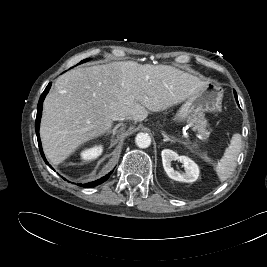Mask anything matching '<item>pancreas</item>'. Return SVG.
Wrapping results in <instances>:
<instances>
[{
    "label": "pancreas",
    "instance_id": "1",
    "mask_svg": "<svg viewBox=\"0 0 267 267\" xmlns=\"http://www.w3.org/2000/svg\"><path fill=\"white\" fill-rule=\"evenodd\" d=\"M188 123L192 126L194 131H197L199 134L203 136H208V132L206 130V124L204 121L200 120L196 115H193L188 119Z\"/></svg>",
    "mask_w": 267,
    "mask_h": 267
}]
</instances>
